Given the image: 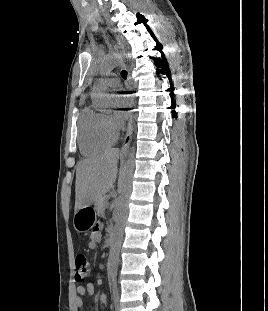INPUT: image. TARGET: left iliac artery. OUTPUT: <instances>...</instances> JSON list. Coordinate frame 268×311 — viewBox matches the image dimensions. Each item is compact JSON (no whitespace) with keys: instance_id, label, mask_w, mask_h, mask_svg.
Listing matches in <instances>:
<instances>
[{"instance_id":"obj_1","label":"left iliac artery","mask_w":268,"mask_h":311,"mask_svg":"<svg viewBox=\"0 0 268 311\" xmlns=\"http://www.w3.org/2000/svg\"><path fill=\"white\" fill-rule=\"evenodd\" d=\"M112 296H113L115 311H117L119 308V293H118V288H117V282L114 279L112 280Z\"/></svg>"}]
</instances>
